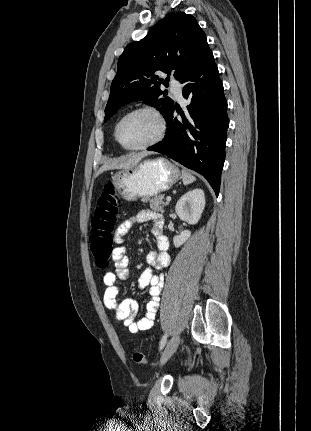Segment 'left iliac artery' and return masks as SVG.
Instances as JSON below:
<instances>
[{
  "instance_id": "44dca946",
  "label": "left iliac artery",
  "mask_w": 311,
  "mask_h": 431,
  "mask_svg": "<svg viewBox=\"0 0 311 431\" xmlns=\"http://www.w3.org/2000/svg\"><path fill=\"white\" fill-rule=\"evenodd\" d=\"M166 341H167V335L165 334V335L162 337L161 341H160V345H159L160 350H162V349H163V347H164V346H165V344H166Z\"/></svg>"
}]
</instances>
